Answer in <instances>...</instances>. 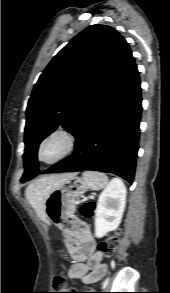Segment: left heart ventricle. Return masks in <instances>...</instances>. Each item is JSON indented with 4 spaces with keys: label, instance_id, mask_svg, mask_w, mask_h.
Listing matches in <instances>:
<instances>
[{
    "label": "left heart ventricle",
    "instance_id": "obj_1",
    "mask_svg": "<svg viewBox=\"0 0 170 293\" xmlns=\"http://www.w3.org/2000/svg\"><path fill=\"white\" fill-rule=\"evenodd\" d=\"M62 148V143L59 139H54L46 144L43 149L42 155L44 158L49 159L56 156Z\"/></svg>",
    "mask_w": 170,
    "mask_h": 293
}]
</instances>
